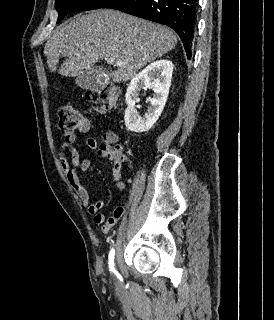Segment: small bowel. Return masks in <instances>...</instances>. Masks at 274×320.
Segmentation results:
<instances>
[{
	"mask_svg": "<svg viewBox=\"0 0 274 320\" xmlns=\"http://www.w3.org/2000/svg\"><path fill=\"white\" fill-rule=\"evenodd\" d=\"M82 127L80 131H86L88 126H91V119H82L80 121ZM77 134L75 132L66 134L61 146L59 154V162L61 169L66 177L67 182L73 188L80 203L86 208L87 212L92 215L94 224L104 225L106 222L114 226L119 218L124 213V207L119 206L115 209L113 215L106 218L104 214L99 211L104 207V202L101 200H90V193L88 189L82 184L76 169L80 171H87L91 166V161L88 158L81 159L78 150L75 147ZM84 144L87 148L95 150L99 157L110 158L112 164V176L120 190H126L127 184L123 180V169L128 162L126 155L121 147H117L109 151L104 145L100 146L97 140L93 137L84 139Z\"/></svg>",
	"mask_w": 274,
	"mask_h": 320,
	"instance_id": "obj_1",
	"label": "small bowel"
}]
</instances>
